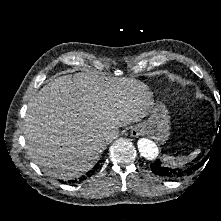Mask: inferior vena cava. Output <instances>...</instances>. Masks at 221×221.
Masks as SVG:
<instances>
[{"instance_id":"602c4592","label":"inferior vena cava","mask_w":221,"mask_h":221,"mask_svg":"<svg viewBox=\"0 0 221 221\" xmlns=\"http://www.w3.org/2000/svg\"><path fill=\"white\" fill-rule=\"evenodd\" d=\"M103 135H104V138H105L106 140H109V141L115 139L116 136H117V134H116L113 130H111V131H106V132H104Z\"/></svg>"}]
</instances>
